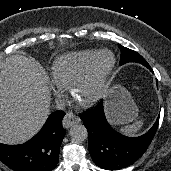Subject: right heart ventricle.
<instances>
[{
    "mask_svg": "<svg viewBox=\"0 0 171 171\" xmlns=\"http://www.w3.org/2000/svg\"><path fill=\"white\" fill-rule=\"evenodd\" d=\"M94 53V50H83L58 57L52 66L53 82L68 88L74 77L85 67Z\"/></svg>",
    "mask_w": 171,
    "mask_h": 171,
    "instance_id": "e07e8e85",
    "label": "right heart ventricle"
}]
</instances>
